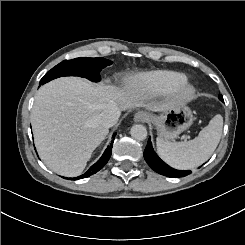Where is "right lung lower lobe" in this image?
<instances>
[{
	"mask_svg": "<svg viewBox=\"0 0 245 245\" xmlns=\"http://www.w3.org/2000/svg\"><path fill=\"white\" fill-rule=\"evenodd\" d=\"M115 136H116V133L113 134L112 142L107 147V149L103 153L102 157L93 166H91L86 173H84L83 175H81L79 177L70 178V180H77V179H82V178L89 177V176L97 173L100 169H102L105 166V164L108 162V160H109V158L111 156L112 146H113V142H114V137Z\"/></svg>",
	"mask_w": 245,
	"mask_h": 245,
	"instance_id": "1",
	"label": "right lung lower lobe"
}]
</instances>
